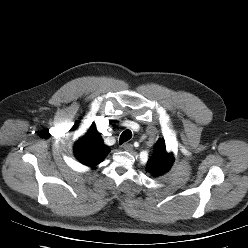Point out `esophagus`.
<instances>
[{
	"instance_id": "esophagus-1",
	"label": "esophagus",
	"mask_w": 248,
	"mask_h": 248,
	"mask_svg": "<svg viewBox=\"0 0 248 248\" xmlns=\"http://www.w3.org/2000/svg\"><path fill=\"white\" fill-rule=\"evenodd\" d=\"M122 148L126 151H132L133 150V145L130 143H126L122 146Z\"/></svg>"
}]
</instances>
